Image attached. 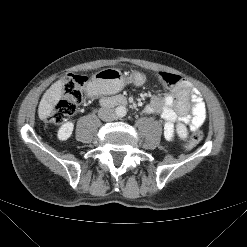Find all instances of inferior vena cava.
I'll list each match as a JSON object with an SVG mask.
<instances>
[{
	"mask_svg": "<svg viewBox=\"0 0 247 247\" xmlns=\"http://www.w3.org/2000/svg\"><path fill=\"white\" fill-rule=\"evenodd\" d=\"M98 116L101 120L105 122H110V121L115 120L116 113L114 109H111V108H100L98 111Z\"/></svg>",
	"mask_w": 247,
	"mask_h": 247,
	"instance_id": "obj_1",
	"label": "inferior vena cava"
}]
</instances>
